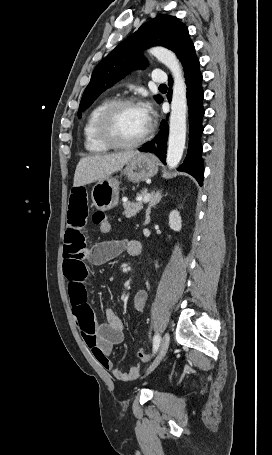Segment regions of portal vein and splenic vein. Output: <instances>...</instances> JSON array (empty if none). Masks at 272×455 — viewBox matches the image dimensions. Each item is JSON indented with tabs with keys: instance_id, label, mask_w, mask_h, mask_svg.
<instances>
[{
	"instance_id": "portal-vein-and-splenic-vein-1",
	"label": "portal vein and splenic vein",
	"mask_w": 272,
	"mask_h": 455,
	"mask_svg": "<svg viewBox=\"0 0 272 455\" xmlns=\"http://www.w3.org/2000/svg\"><path fill=\"white\" fill-rule=\"evenodd\" d=\"M142 200H143L144 203L148 202V201L150 200V194L147 193V194L143 197Z\"/></svg>"
}]
</instances>
